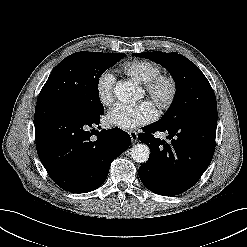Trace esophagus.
<instances>
[{"instance_id":"obj_1","label":"esophagus","mask_w":247,"mask_h":247,"mask_svg":"<svg viewBox=\"0 0 247 247\" xmlns=\"http://www.w3.org/2000/svg\"><path fill=\"white\" fill-rule=\"evenodd\" d=\"M129 135L133 144L138 142V133L136 131H130Z\"/></svg>"}]
</instances>
